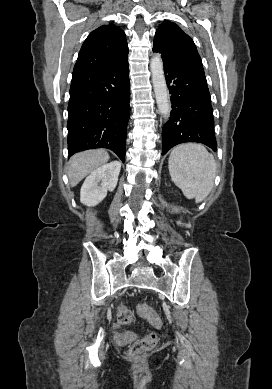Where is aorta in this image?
<instances>
[{"instance_id": "1", "label": "aorta", "mask_w": 272, "mask_h": 389, "mask_svg": "<svg viewBox=\"0 0 272 389\" xmlns=\"http://www.w3.org/2000/svg\"><path fill=\"white\" fill-rule=\"evenodd\" d=\"M150 68L152 72V84L157 107L162 117L167 120L170 117L171 104L164 76L163 62L160 54L153 56L151 59Z\"/></svg>"}]
</instances>
